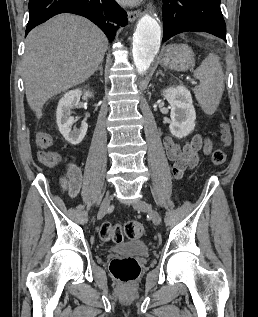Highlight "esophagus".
<instances>
[{"instance_id": "esophagus-1", "label": "esophagus", "mask_w": 258, "mask_h": 317, "mask_svg": "<svg viewBox=\"0 0 258 317\" xmlns=\"http://www.w3.org/2000/svg\"><path fill=\"white\" fill-rule=\"evenodd\" d=\"M141 16V11L140 10H135L134 12H128V20L130 22H134Z\"/></svg>"}]
</instances>
